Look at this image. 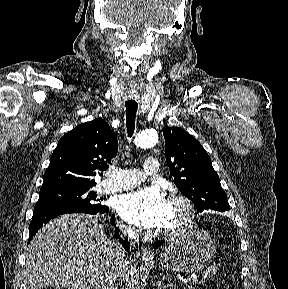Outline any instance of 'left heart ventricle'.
<instances>
[{
  "label": "left heart ventricle",
  "mask_w": 288,
  "mask_h": 289,
  "mask_svg": "<svg viewBox=\"0 0 288 289\" xmlns=\"http://www.w3.org/2000/svg\"><path fill=\"white\" fill-rule=\"evenodd\" d=\"M183 220V210L181 206L169 202L168 221L165 224L167 228L178 226Z\"/></svg>",
  "instance_id": "1"
}]
</instances>
